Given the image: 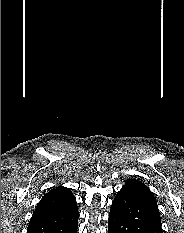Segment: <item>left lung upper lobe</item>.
<instances>
[{
	"label": "left lung upper lobe",
	"instance_id": "left-lung-upper-lobe-1",
	"mask_svg": "<svg viewBox=\"0 0 184 233\" xmlns=\"http://www.w3.org/2000/svg\"><path fill=\"white\" fill-rule=\"evenodd\" d=\"M120 191H125L131 195H134L137 199L144 202L151 209L158 222L161 223L156 199L144 183L136 179H129L126 181L125 185Z\"/></svg>",
	"mask_w": 184,
	"mask_h": 233
}]
</instances>
